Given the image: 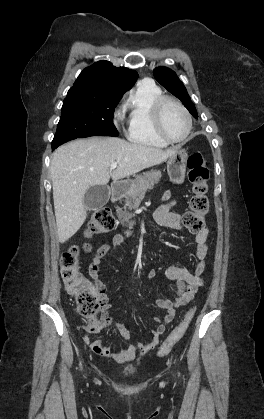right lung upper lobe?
<instances>
[{"instance_id":"obj_1","label":"right lung upper lobe","mask_w":264,"mask_h":419,"mask_svg":"<svg viewBox=\"0 0 264 419\" xmlns=\"http://www.w3.org/2000/svg\"><path fill=\"white\" fill-rule=\"evenodd\" d=\"M138 73L125 67H115L99 61L85 68L71 89L82 88L94 92L123 95L136 82Z\"/></svg>"}]
</instances>
